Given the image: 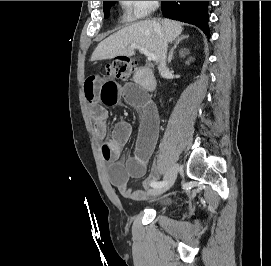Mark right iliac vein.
I'll return each mask as SVG.
<instances>
[{"label": "right iliac vein", "mask_w": 271, "mask_h": 266, "mask_svg": "<svg viewBox=\"0 0 271 266\" xmlns=\"http://www.w3.org/2000/svg\"><path fill=\"white\" fill-rule=\"evenodd\" d=\"M179 166L174 165L169 169L167 179L165 180V184L161 187L153 188L150 190V193L153 195H160L163 192L167 191L169 188L173 186L175 183L177 172H178Z\"/></svg>", "instance_id": "1"}]
</instances>
